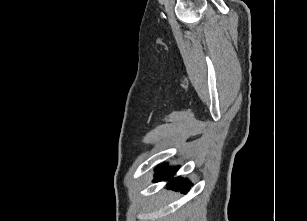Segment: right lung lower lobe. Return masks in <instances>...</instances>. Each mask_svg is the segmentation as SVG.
I'll return each mask as SVG.
<instances>
[{
  "instance_id": "98d812e1",
  "label": "right lung lower lobe",
  "mask_w": 307,
  "mask_h": 221,
  "mask_svg": "<svg viewBox=\"0 0 307 221\" xmlns=\"http://www.w3.org/2000/svg\"><path fill=\"white\" fill-rule=\"evenodd\" d=\"M162 168L158 167L157 169H160L156 173L155 182L157 181H163L166 179H170L172 175L176 172L178 168H172L167 167L165 164L161 165ZM190 182H186L185 179L182 178H174L168 183V188L175 189V190H181L182 193H187L190 189Z\"/></svg>"
}]
</instances>
